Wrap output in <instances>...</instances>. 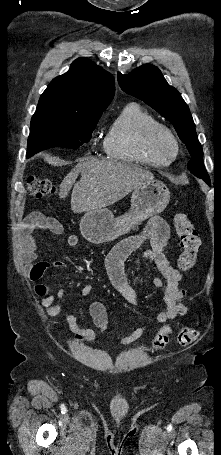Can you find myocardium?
Here are the masks:
<instances>
[{
	"label": "myocardium",
	"mask_w": 221,
	"mask_h": 455,
	"mask_svg": "<svg viewBox=\"0 0 221 455\" xmlns=\"http://www.w3.org/2000/svg\"><path fill=\"white\" fill-rule=\"evenodd\" d=\"M151 147L167 160L174 159L179 151V143L173 132L163 124H156L149 131Z\"/></svg>",
	"instance_id": "myocardium-1"
}]
</instances>
